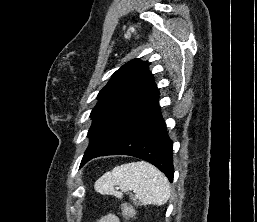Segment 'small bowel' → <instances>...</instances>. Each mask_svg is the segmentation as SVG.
Here are the masks:
<instances>
[{
	"instance_id": "c3829d8e",
	"label": "small bowel",
	"mask_w": 257,
	"mask_h": 222,
	"mask_svg": "<svg viewBox=\"0 0 257 222\" xmlns=\"http://www.w3.org/2000/svg\"><path fill=\"white\" fill-rule=\"evenodd\" d=\"M97 222H120L119 218L114 214H107Z\"/></svg>"
}]
</instances>
